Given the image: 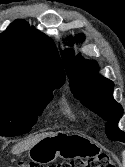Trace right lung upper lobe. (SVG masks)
<instances>
[{"mask_svg":"<svg viewBox=\"0 0 125 167\" xmlns=\"http://www.w3.org/2000/svg\"><path fill=\"white\" fill-rule=\"evenodd\" d=\"M64 82L58 50L46 35L24 20L0 35V92L30 96Z\"/></svg>","mask_w":125,"mask_h":167,"instance_id":"1","label":"right lung upper lobe"}]
</instances>
